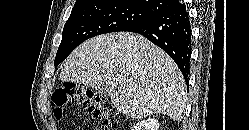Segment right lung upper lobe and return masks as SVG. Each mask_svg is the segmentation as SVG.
<instances>
[{
	"mask_svg": "<svg viewBox=\"0 0 249 130\" xmlns=\"http://www.w3.org/2000/svg\"><path fill=\"white\" fill-rule=\"evenodd\" d=\"M96 1H104V0H77L73 8L84 4L93 3ZM115 1L127 2L135 6L153 11L157 14L167 10L168 8H170L175 3L178 2V0H115Z\"/></svg>",
	"mask_w": 249,
	"mask_h": 130,
	"instance_id": "obj_1",
	"label": "right lung upper lobe"
}]
</instances>
